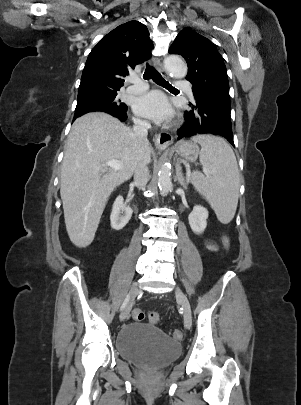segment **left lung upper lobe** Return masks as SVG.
Here are the masks:
<instances>
[{"mask_svg": "<svg viewBox=\"0 0 301 405\" xmlns=\"http://www.w3.org/2000/svg\"><path fill=\"white\" fill-rule=\"evenodd\" d=\"M169 53L185 58L189 67L186 79L193 85L196 100L230 107L226 66L210 40L190 28H184L169 48Z\"/></svg>", "mask_w": 301, "mask_h": 405, "instance_id": "5c2ea615", "label": "left lung upper lobe"}]
</instances>
